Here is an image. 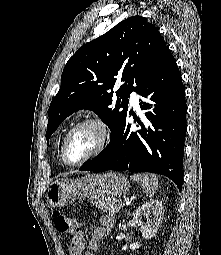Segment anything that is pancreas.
<instances>
[{"mask_svg": "<svg viewBox=\"0 0 221 255\" xmlns=\"http://www.w3.org/2000/svg\"><path fill=\"white\" fill-rule=\"evenodd\" d=\"M95 206L99 209L103 210V212L108 213L110 215H115L119 212V210L123 207V203L121 199H100L96 201Z\"/></svg>", "mask_w": 221, "mask_h": 255, "instance_id": "1", "label": "pancreas"}]
</instances>
